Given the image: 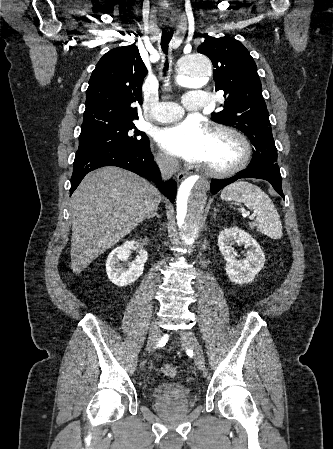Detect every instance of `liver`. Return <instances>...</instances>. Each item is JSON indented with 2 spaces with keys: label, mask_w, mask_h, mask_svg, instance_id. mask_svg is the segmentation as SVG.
I'll return each instance as SVG.
<instances>
[{
  "label": "liver",
  "mask_w": 333,
  "mask_h": 449,
  "mask_svg": "<svg viewBox=\"0 0 333 449\" xmlns=\"http://www.w3.org/2000/svg\"><path fill=\"white\" fill-rule=\"evenodd\" d=\"M162 196L138 175L108 166L87 174L70 203L71 261L76 273L158 209Z\"/></svg>",
  "instance_id": "1"
}]
</instances>
